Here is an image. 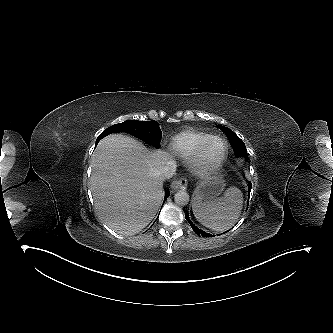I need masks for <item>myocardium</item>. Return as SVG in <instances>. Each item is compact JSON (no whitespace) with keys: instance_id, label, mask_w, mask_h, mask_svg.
<instances>
[{"instance_id":"obj_1","label":"myocardium","mask_w":333,"mask_h":333,"mask_svg":"<svg viewBox=\"0 0 333 333\" xmlns=\"http://www.w3.org/2000/svg\"><path fill=\"white\" fill-rule=\"evenodd\" d=\"M219 140L223 143V152L221 156L214 162H207L205 160V152L208 146L211 144L212 141ZM228 153V144L225 139L219 136H211L207 139L204 144L198 149L196 154L190 160V167L193 173L199 177L208 176L215 171H217L222 164L224 163L226 156Z\"/></svg>"}]
</instances>
